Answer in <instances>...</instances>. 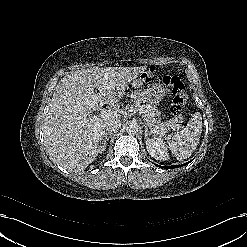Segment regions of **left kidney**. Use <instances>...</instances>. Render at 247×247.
I'll return each instance as SVG.
<instances>
[{
  "label": "left kidney",
  "mask_w": 247,
  "mask_h": 247,
  "mask_svg": "<svg viewBox=\"0 0 247 247\" xmlns=\"http://www.w3.org/2000/svg\"><path fill=\"white\" fill-rule=\"evenodd\" d=\"M146 148L151 155L156 160L166 161L169 159V154L166 145L160 137H152L146 140Z\"/></svg>",
  "instance_id": "5707ae66"
}]
</instances>
